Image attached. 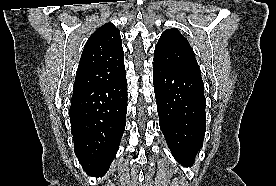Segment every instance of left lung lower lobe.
<instances>
[{
  "instance_id": "1",
  "label": "left lung lower lobe",
  "mask_w": 276,
  "mask_h": 186,
  "mask_svg": "<svg viewBox=\"0 0 276 186\" xmlns=\"http://www.w3.org/2000/svg\"><path fill=\"white\" fill-rule=\"evenodd\" d=\"M153 82L160 129L175 159L191 167L206 129L202 78L154 62Z\"/></svg>"
}]
</instances>
